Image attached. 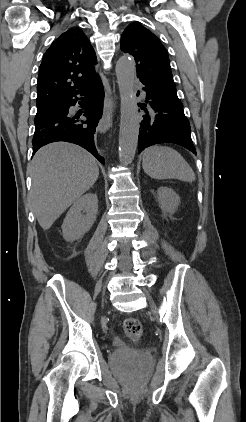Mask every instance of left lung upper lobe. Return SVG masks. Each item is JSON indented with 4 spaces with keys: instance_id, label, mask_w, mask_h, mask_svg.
Masks as SVG:
<instances>
[{
    "instance_id": "1",
    "label": "left lung upper lobe",
    "mask_w": 246,
    "mask_h": 422,
    "mask_svg": "<svg viewBox=\"0 0 246 422\" xmlns=\"http://www.w3.org/2000/svg\"><path fill=\"white\" fill-rule=\"evenodd\" d=\"M121 50L134 57L140 81L149 83L173 100L180 101L168 53L153 33L138 23L128 25L121 36Z\"/></svg>"
}]
</instances>
